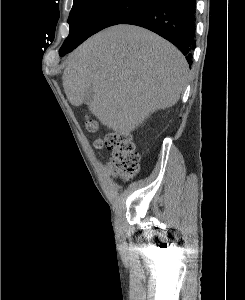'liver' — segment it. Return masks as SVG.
<instances>
[{"instance_id": "1", "label": "liver", "mask_w": 245, "mask_h": 300, "mask_svg": "<svg viewBox=\"0 0 245 300\" xmlns=\"http://www.w3.org/2000/svg\"><path fill=\"white\" fill-rule=\"evenodd\" d=\"M188 65L171 43L133 25H115L73 51L63 73V86L74 106L89 111L122 136L134 131L159 109L175 105L187 86Z\"/></svg>"}]
</instances>
